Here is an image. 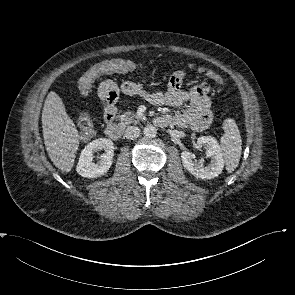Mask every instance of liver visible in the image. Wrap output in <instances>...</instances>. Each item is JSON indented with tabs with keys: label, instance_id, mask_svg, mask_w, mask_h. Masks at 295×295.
Listing matches in <instances>:
<instances>
[{
	"label": "liver",
	"instance_id": "6515ba94",
	"mask_svg": "<svg viewBox=\"0 0 295 295\" xmlns=\"http://www.w3.org/2000/svg\"><path fill=\"white\" fill-rule=\"evenodd\" d=\"M42 131L53 164L62 172L71 171L79 147V133L62 99L54 91L48 93L44 102Z\"/></svg>",
	"mask_w": 295,
	"mask_h": 295
}]
</instances>
